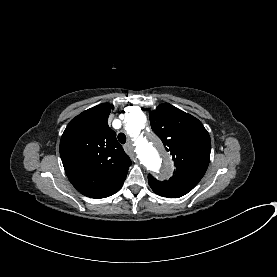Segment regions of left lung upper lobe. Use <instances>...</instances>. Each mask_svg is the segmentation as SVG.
<instances>
[{
	"instance_id": "5c2ea615",
	"label": "left lung upper lobe",
	"mask_w": 277,
	"mask_h": 277,
	"mask_svg": "<svg viewBox=\"0 0 277 277\" xmlns=\"http://www.w3.org/2000/svg\"><path fill=\"white\" fill-rule=\"evenodd\" d=\"M150 123L172 154L176 171L163 182L148 175L149 185L160 196L179 198L190 192L205 174L210 160V136L197 118L168 103L150 112Z\"/></svg>"
}]
</instances>
